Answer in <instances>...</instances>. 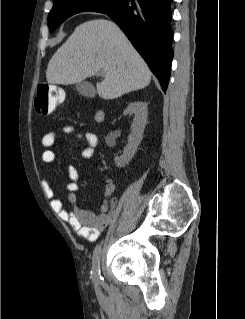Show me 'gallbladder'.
<instances>
[{"label":"gallbladder","mask_w":245,"mask_h":319,"mask_svg":"<svg viewBox=\"0 0 245 319\" xmlns=\"http://www.w3.org/2000/svg\"><path fill=\"white\" fill-rule=\"evenodd\" d=\"M76 90L80 95L84 97H94L96 94L94 86L87 81L77 83Z\"/></svg>","instance_id":"obj_1"}]
</instances>
